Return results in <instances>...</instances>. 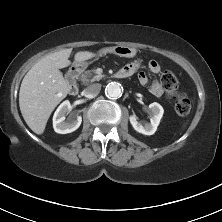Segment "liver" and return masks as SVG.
Masks as SVG:
<instances>
[{
  "label": "liver",
  "instance_id": "liver-1",
  "mask_svg": "<svg viewBox=\"0 0 222 222\" xmlns=\"http://www.w3.org/2000/svg\"><path fill=\"white\" fill-rule=\"evenodd\" d=\"M72 49H63L46 55L25 75L19 91L21 114L36 134H42L55 107L70 91L68 82L59 69L68 67ZM95 56L89 51L75 54V60L85 61Z\"/></svg>",
  "mask_w": 222,
  "mask_h": 222
}]
</instances>
